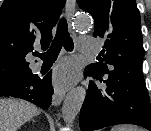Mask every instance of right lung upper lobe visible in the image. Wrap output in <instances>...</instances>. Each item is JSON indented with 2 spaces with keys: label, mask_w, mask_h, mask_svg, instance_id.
<instances>
[{
  "label": "right lung upper lobe",
  "mask_w": 151,
  "mask_h": 131,
  "mask_svg": "<svg viewBox=\"0 0 151 131\" xmlns=\"http://www.w3.org/2000/svg\"><path fill=\"white\" fill-rule=\"evenodd\" d=\"M66 0H5L0 8V83L32 72L26 55L34 44L48 46Z\"/></svg>",
  "instance_id": "obj_1"
}]
</instances>
